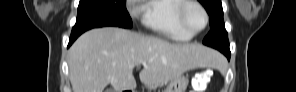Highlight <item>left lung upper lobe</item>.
<instances>
[{"mask_svg":"<svg viewBox=\"0 0 296 92\" xmlns=\"http://www.w3.org/2000/svg\"><path fill=\"white\" fill-rule=\"evenodd\" d=\"M199 2L205 7L210 20V32L204 38L203 43L218 50L229 49L221 0H199Z\"/></svg>","mask_w":296,"mask_h":92,"instance_id":"left-lung-upper-lobe-1","label":"left lung upper lobe"}]
</instances>
